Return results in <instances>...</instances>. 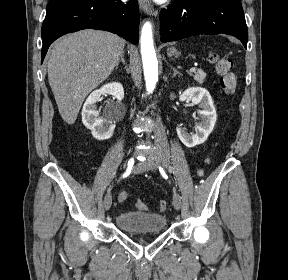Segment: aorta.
<instances>
[{
    "mask_svg": "<svg viewBox=\"0 0 288 280\" xmlns=\"http://www.w3.org/2000/svg\"><path fill=\"white\" fill-rule=\"evenodd\" d=\"M140 43L146 90L152 93L158 81V61L154 49L152 26L149 22L142 27Z\"/></svg>",
    "mask_w": 288,
    "mask_h": 280,
    "instance_id": "762f6f07",
    "label": "aorta"
}]
</instances>
